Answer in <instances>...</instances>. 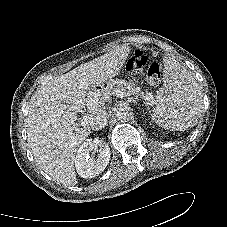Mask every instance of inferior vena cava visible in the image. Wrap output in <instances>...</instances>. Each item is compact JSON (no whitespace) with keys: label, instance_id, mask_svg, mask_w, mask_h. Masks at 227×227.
<instances>
[{"label":"inferior vena cava","instance_id":"1","mask_svg":"<svg viewBox=\"0 0 227 227\" xmlns=\"http://www.w3.org/2000/svg\"><path fill=\"white\" fill-rule=\"evenodd\" d=\"M108 114L105 111L97 113L92 117L90 126L93 130H99L104 128L108 123Z\"/></svg>","mask_w":227,"mask_h":227}]
</instances>
